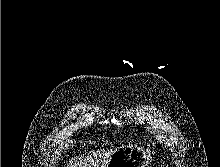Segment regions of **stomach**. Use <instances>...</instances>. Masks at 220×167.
<instances>
[{
  "instance_id": "obj_1",
  "label": "stomach",
  "mask_w": 220,
  "mask_h": 167,
  "mask_svg": "<svg viewBox=\"0 0 220 167\" xmlns=\"http://www.w3.org/2000/svg\"><path fill=\"white\" fill-rule=\"evenodd\" d=\"M152 154L143 148L127 145L115 149L106 167H149Z\"/></svg>"
}]
</instances>
